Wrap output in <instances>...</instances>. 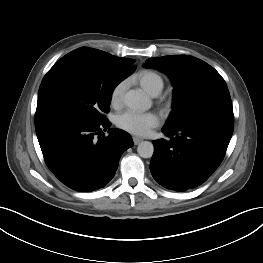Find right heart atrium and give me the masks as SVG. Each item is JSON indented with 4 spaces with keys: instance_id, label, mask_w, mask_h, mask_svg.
<instances>
[{
    "instance_id": "1",
    "label": "right heart atrium",
    "mask_w": 263,
    "mask_h": 263,
    "mask_svg": "<svg viewBox=\"0 0 263 263\" xmlns=\"http://www.w3.org/2000/svg\"><path fill=\"white\" fill-rule=\"evenodd\" d=\"M124 89V82H119L112 88L110 93V103L112 106H118L121 103Z\"/></svg>"
}]
</instances>
